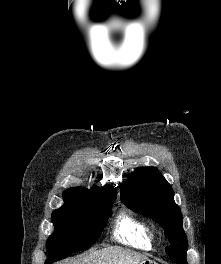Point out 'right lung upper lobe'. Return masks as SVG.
Segmentation results:
<instances>
[{
    "label": "right lung upper lobe",
    "instance_id": "1",
    "mask_svg": "<svg viewBox=\"0 0 221 264\" xmlns=\"http://www.w3.org/2000/svg\"><path fill=\"white\" fill-rule=\"evenodd\" d=\"M116 189L106 184L104 187L93 186L92 189L83 187L70 188L63 192L64 208H81L92 201L116 197Z\"/></svg>",
    "mask_w": 221,
    "mask_h": 264
}]
</instances>
